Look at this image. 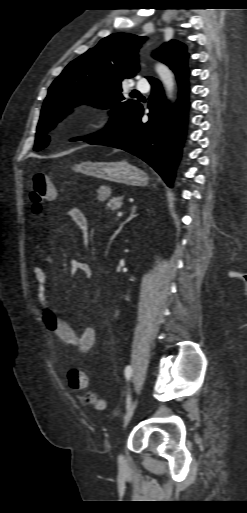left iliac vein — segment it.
<instances>
[{"label":"left iliac vein","instance_id":"left-iliac-vein-1","mask_svg":"<svg viewBox=\"0 0 247 513\" xmlns=\"http://www.w3.org/2000/svg\"><path fill=\"white\" fill-rule=\"evenodd\" d=\"M136 406H137V400L133 401L129 407V409L127 410V413L124 417V427H126L128 425V423L130 422L133 414H134V411L136 409ZM118 466H119V470L121 472H125L127 470V462L124 458V456L122 454H120L118 456Z\"/></svg>","mask_w":247,"mask_h":513}]
</instances>
